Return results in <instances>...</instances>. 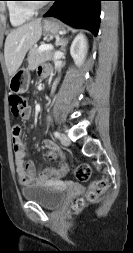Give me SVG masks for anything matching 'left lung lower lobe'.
<instances>
[{
    "label": "left lung lower lobe",
    "mask_w": 133,
    "mask_h": 253,
    "mask_svg": "<svg viewBox=\"0 0 133 253\" xmlns=\"http://www.w3.org/2000/svg\"><path fill=\"white\" fill-rule=\"evenodd\" d=\"M53 6L44 17H55L76 28L98 34L100 1L102 0H53Z\"/></svg>",
    "instance_id": "1"
}]
</instances>
